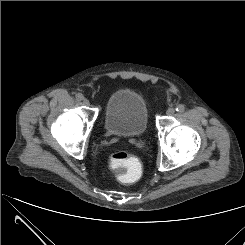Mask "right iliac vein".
Instances as JSON below:
<instances>
[{
    "label": "right iliac vein",
    "mask_w": 245,
    "mask_h": 245,
    "mask_svg": "<svg viewBox=\"0 0 245 245\" xmlns=\"http://www.w3.org/2000/svg\"><path fill=\"white\" fill-rule=\"evenodd\" d=\"M83 103H84V105H86V106H89V105H90V102H89V100H87V99H84V100H83Z\"/></svg>",
    "instance_id": "obj_1"
}]
</instances>
